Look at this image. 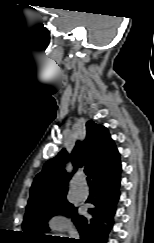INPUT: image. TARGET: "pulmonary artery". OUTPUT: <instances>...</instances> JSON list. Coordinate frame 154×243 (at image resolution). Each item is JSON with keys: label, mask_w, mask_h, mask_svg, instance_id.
Returning a JSON list of instances; mask_svg holds the SVG:
<instances>
[{"label": "pulmonary artery", "mask_w": 154, "mask_h": 243, "mask_svg": "<svg viewBox=\"0 0 154 243\" xmlns=\"http://www.w3.org/2000/svg\"><path fill=\"white\" fill-rule=\"evenodd\" d=\"M76 192L80 200H85L88 197V190L86 188L78 187Z\"/></svg>", "instance_id": "1"}]
</instances>
